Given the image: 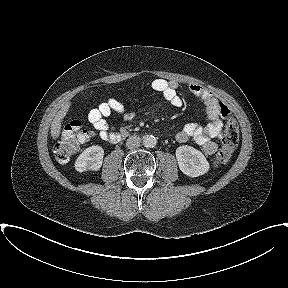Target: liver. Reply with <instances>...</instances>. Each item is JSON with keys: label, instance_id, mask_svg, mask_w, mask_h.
Returning a JSON list of instances; mask_svg holds the SVG:
<instances>
[{"label": "liver", "instance_id": "obj_1", "mask_svg": "<svg viewBox=\"0 0 288 288\" xmlns=\"http://www.w3.org/2000/svg\"><path fill=\"white\" fill-rule=\"evenodd\" d=\"M70 108V103H66L65 105L62 106L60 111L55 115V118L52 121L51 124V136L53 139H57L60 135L61 132V122L63 121L64 117L66 116V113L68 112Z\"/></svg>", "mask_w": 288, "mask_h": 288}]
</instances>
